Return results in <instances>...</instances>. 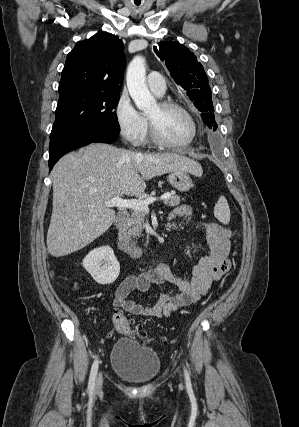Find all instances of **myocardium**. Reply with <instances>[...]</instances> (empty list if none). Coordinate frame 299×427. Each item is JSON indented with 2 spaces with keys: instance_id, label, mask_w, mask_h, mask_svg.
I'll list each match as a JSON object with an SVG mask.
<instances>
[{
  "instance_id": "obj_1",
  "label": "myocardium",
  "mask_w": 299,
  "mask_h": 427,
  "mask_svg": "<svg viewBox=\"0 0 299 427\" xmlns=\"http://www.w3.org/2000/svg\"><path fill=\"white\" fill-rule=\"evenodd\" d=\"M158 106L162 109H170V108L177 109L181 113H183L190 122L191 133H190L189 139L186 140L185 142L177 143V142L169 141V140L165 139L159 133L158 128L156 127L155 123L149 117H147L149 129H150V135H151L152 140L156 144H158L162 147L172 148V149L184 148V147L192 144L196 138V135H197V124H196V121H195L193 115L191 114V112L186 107H184L182 104L175 102V101H172V100L159 101Z\"/></svg>"
}]
</instances>
